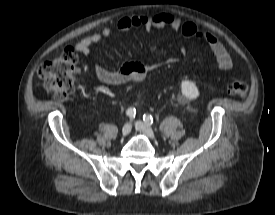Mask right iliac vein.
<instances>
[{
    "instance_id": "1",
    "label": "right iliac vein",
    "mask_w": 275,
    "mask_h": 215,
    "mask_svg": "<svg viewBox=\"0 0 275 215\" xmlns=\"http://www.w3.org/2000/svg\"><path fill=\"white\" fill-rule=\"evenodd\" d=\"M132 126L130 123H126L122 128L123 136H127L131 132Z\"/></svg>"
}]
</instances>
